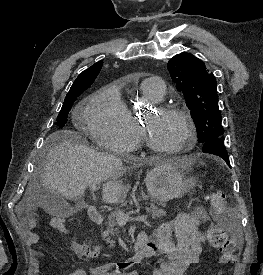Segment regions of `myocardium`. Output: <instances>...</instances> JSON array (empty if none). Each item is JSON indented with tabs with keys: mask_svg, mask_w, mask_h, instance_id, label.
<instances>
[{
	"mask_svg": "<svg viewBox=\"0 0 263 275\" xmlns=\"http://www.w3.org/2000/svg\"><path fill=\"white\" fill-rule=\"evenodd\" d=\"M155 111L160 114L176 115L183 119L187 126V135L178 147L171 149L161 148L153 143L146 131L144 124H140V136L149 150L156 154L172 156L180 154L194 147L197 139V128L193 117L187 110L173 105H165L155 107Z\"/></svg>",
	"mask_w": 263,
	"mask_h": 275,
	"instance_id": "myocardium-1",
	"label": "myocardium"
}]
</instances>
